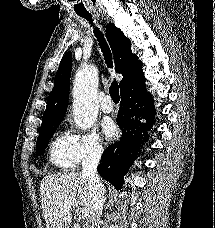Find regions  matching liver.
<instances>
[{
	"instance_id": "1",
	"label": "liver",
	"mask_w": 215,
	"mask_h": 228,
	"mask_svg": "<svg viewBox=\"0 0 215 228\" xmlns=\"http://www.w3.org/2000/svg\"><path fill=\"white\" fill-rule=\"evenodd\" d=\"M40 198L46 228H80V224L72 222V208L65 204L69 198H73L79 206H84L82 210H86L88 218L93 214L88 180L76 172L45 176L40 184Z\"/></svg>"
}]
</instances>
